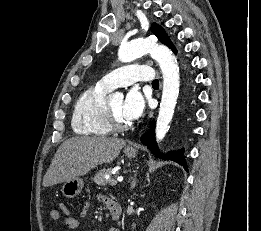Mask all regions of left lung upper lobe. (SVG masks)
<instances>
[{
  "label": "left lung upper lobe",
  "instance_id": "left-lung-upper-lobe-1",
  "mask_svg": "<svg viewBox=\"0 0 261 231\" xmlns=\"http://www.w3.org/2000/svg\"><path fill=\"white\" fill-rule=\"evenodd\" d=\"M151 30L153 32V34L155 36H157V38L165 45H167L169 48L172 49V51L176 54L177 51L174 47V45L172 44V42L170 41L169 37L167 36L166 32L164 31V29L159 26L156 23H153L151 26Z\"/></svg>",
  "mask_w": 261,
  "mask_h": 231
}]
</instances>
